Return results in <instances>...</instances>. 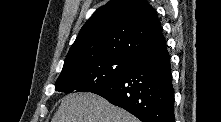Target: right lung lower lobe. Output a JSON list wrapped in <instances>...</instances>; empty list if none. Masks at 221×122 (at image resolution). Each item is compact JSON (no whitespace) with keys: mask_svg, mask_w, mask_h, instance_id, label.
<instances>
[{"mask_svg":"<svg viewBox=\"0 0 221 122\" xmlns=\"http://www.w3.org/2000/svg\"><path fill=\"white\" fill-rule=\"evenodd\" d=\"M91 92L142 122H174V90L165 38L134 58L118 79Z\"/></svg>","mask_w":221,"mask_h":122,"instance_id":"98d812e1","label":"right lung lower lobe"}]
</instances>
